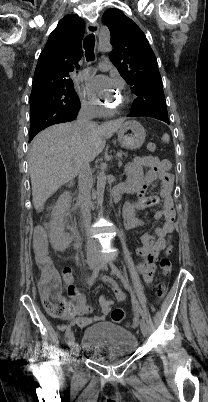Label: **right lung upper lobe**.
<instances>
[{
	"label": "right lung upper lobe",
	"mask_w": 208,
	"mask_h": 402,
	"mask_svg": "<svg viewBox=\"0 0 208 402\" xmlns=\"http://www.w3.org/2000/svg\"><path fill=\"white\" fill-rule=\"evenodd\" d=\"M84 32L85 23L78 15L60 20L39 56L31 93L42 85L71 80L69 74L80 68Z\"/></svg>",
	"instance_id": "cb5924a9"
}]
</instances>
